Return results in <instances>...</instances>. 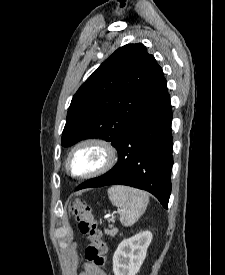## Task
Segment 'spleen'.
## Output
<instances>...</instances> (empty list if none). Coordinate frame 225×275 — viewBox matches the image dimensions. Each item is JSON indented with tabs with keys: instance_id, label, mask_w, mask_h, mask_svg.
<instances>
[{
	"instance_id": "obj_1",
	"label": "spleen",
	"mask_w": 225,
	"mask_h": 275,
	"mask_svg": "<svg viewBox=\"0 0 225 275\" xmlns=\"http://www.w3.org/2000/svg\"><path fill=\"white\" fill-rule=\"evenodd\" d=\"M108 197L120 210V222L124 227L135 224L144 214L149 203L146 192L128 186H112L108 189Z\"/></svg>"
}]
</instances>
